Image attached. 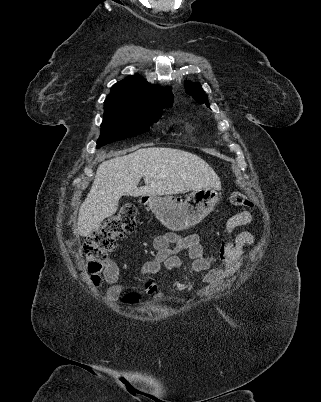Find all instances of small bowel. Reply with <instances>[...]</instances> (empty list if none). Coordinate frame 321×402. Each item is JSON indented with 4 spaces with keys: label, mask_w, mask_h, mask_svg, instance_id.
<instances>
[{
    "label": "small bowel",
    "mask_w": 321,
    "mask_h": 402,
    "mask_svg": "<svg viewBox=\"0 0 321 402\" xmlns=\"http://www.w3.org/2000/svg\"><path fill=\"white\" fill-rule=\"evenodd\" d=\"M252 221L253 215L248 210H241L228 218L225 229L230 236L221 246V263L216 267L212 266V260L206 254L196 234L179 236L174 233H166L154 239L153 246L156 253L144 263L142 272L145 275H153L162 270L179 269L183 266V261L178 254L186 252L191 260L190 270L193 273L206 272L203 282L207 285L215 284L224 277L234 274L241 265L244 248L255 245V238L248 231L232 236L234 230L247 226ZM119 277L118 266L108 261L105 278L110 285L107 290L110 298L117 297L125 289L124 285L118 283ZM148 291L156 296L160 294L156 285H149ZM197 333H203V328H197Z\"/></svg>",
    "instance_id": "small-bowel-1"
}]
</instances>
